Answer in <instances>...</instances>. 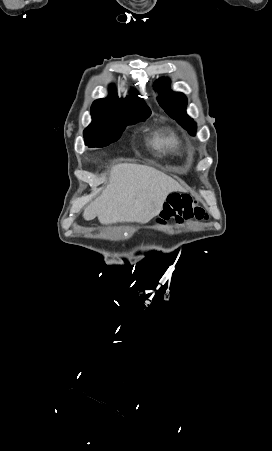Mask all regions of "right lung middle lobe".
Instances as JSON below:
<instances>
[{
  "label": "right lung middle lobe",
  "mask_w": 272,
  "mask_h": 451,
  "mask_svg": "<svg viewBox=\"0 0 272 451\" xmlns=\"http://www.w3.org/2000/svg\"><path fill=\"white\" fill-rule=\"evenodd\" d=\"M151 114L149 108L125 112H93L92 123L84 130L85 144L89 147H104L117 141L128 125L144 121Z\"/></svg>",
  "instance_id": "obj_1"
}]
</instances>
